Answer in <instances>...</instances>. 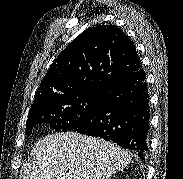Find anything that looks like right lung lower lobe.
Here are the masks:
<instances>
[{
  "instance_id": "1",
  "label": "right lung lower lobe",
  "mask_w": 183,
  "mask_h": 179,
  "mask_svg": "<svg viewBox=\"0 0 183 179\" xmlns=\"http://www.w3.org/2000/svg\"><path fill=\"white\" fill-rule=\"evenodd\" d=\"M150 106L142 66L105 87L97 112L74 132L99 137L133 151L145 160L149 145Z\"/></svg>"
}]
</instances>
